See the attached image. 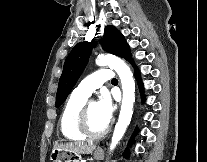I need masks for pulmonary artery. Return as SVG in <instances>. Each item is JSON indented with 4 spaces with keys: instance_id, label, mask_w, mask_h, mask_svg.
<instances>
[{
    "instance_id": "1",
    "label": "pulmonary artery",
    "mask_w": 207,
    "mask_h": 162,
    "mask_svg": "<svg viewBox=\"0 0 207 162\" xmlns=\"http://www.w3.org/2000/svg\"><path fill=\"white\" fill-rule=\"evenodd\" d=\"M113 73L107 69H101L95 73L89 75L84 80H82L75 91L79 94H82L86 97L92 95V93L100 88L106 81H109L113 78Z\"/></svg>"
}]
</instances>
